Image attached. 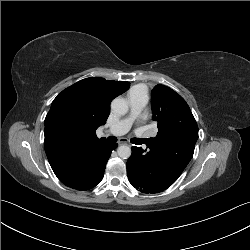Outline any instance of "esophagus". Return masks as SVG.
<instances>
[{
	"label": "esophagus",
	"mask_w": 250,
	"mask_h": 250,
	"mask_svg": "<svg viewBox=\"0 0 250 250\" xmlns=\"http://www.w3.org/2000/svg\"><path fill=\"white\" fill-rule=\"evenodd\" d=\"M119 145H123V144H128V140L126 138H121L118 141Z\"/></svg>",
	"instance_id": "obj_1"
}]
</instances>
